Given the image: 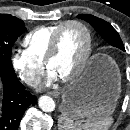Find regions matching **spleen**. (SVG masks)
Returning <instances> with one entry per match:
<instances>
[{
	"instance_id": "spleen-1",
	"label": "spleen",
	"mask_w": 130,
	"mask_h": 130,
	"mask_svg": "<svg viewBox=\"0 0 130 130\" xmlns=\"http://www.w3.org/2000/svg\"><path fill=\"white\" fill-rule=\"evenodd\" d=\"M113 118L106 116L96 121L74 122L66 115H61L58 118L59 130H108L112 125Z\"/></svg>"
}]
</instances>
